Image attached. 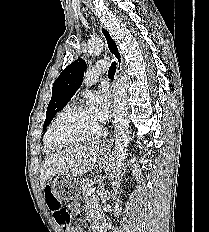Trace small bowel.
<instances>
[{
  "label": "small bowel",
  "instance_id": "c3829d8e",
  "mask_svg": "<svg viewBox=\"0 0 209 232\" xmlns=\"http://www.w3.org/2000/svg\"><path fill=\"white\" fill-rule=\"evenodd\" d=\"M88 213L96 224L100 221L101 215L95 206H90ZM64 232H82V230L78 227H66L64 228Z\"/></svg>",
  "mask_w": 209,
  "mask_h": 232
}]
</instances>
